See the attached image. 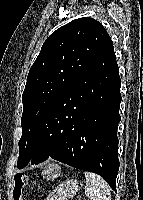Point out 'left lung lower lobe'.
<instances>
[{
	"label": "left lung lower lobe",
	"mask_w": 143,
	"mask_h": 200,
	"mask_svg": "<svg viewBox=\"0 0 143 200\" xmlns=\"http://www.w3.org/2000/svg\"><path fill=\"white\" fill-rule=\"evenodd\" d=\"M120 87L111 41L46 114L37 134L31 164H39L51 157L99 174L116 191ZM64 109L67 111L58 120L59 112Z\"/></svg>",
	"instance_id": "1"
}]
</instances>
